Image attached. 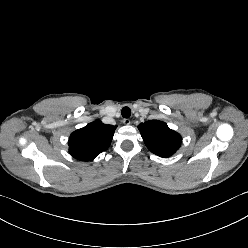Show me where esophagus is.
<instances>
[{"instance_id": "1", "label": "esophagus", "mask_w": 248, "mask_h": 248, "mask_svg": "<svg viewBox=\"0 0 248 248\" xmlns=\"http://www.w3.org/2000/svg\"><path fill=\"white\" fill-rule=\"evenodd\" d=\"M123 123H124L125 125H130V124H131V120L128 119V118H125V119H123Z\"/></svg>"}]
</instances>
